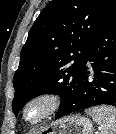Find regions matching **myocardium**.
I'll return each instance as SVG.
<instances>
[{
    "label": "myocardium",
    "instance_id": "myocardium-1",
    "mask_svg": "<svg viewBox=\"0 0 116 134\" xmlns=\"http://www.w3.org/2000/svg\"><path fill=\"white\" fill-rule=\"evenodd\" d=\"M61 100L54 92L39 93L30 98L22 108V120L28 126H37L55 115L60 108ZM36 111L35 116L31 112Z\"/></svg>",
    "mask_w": 116,
    "mask_h": 134
}]
</instances>
